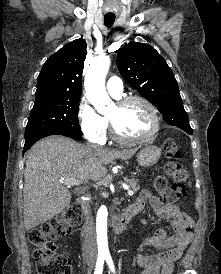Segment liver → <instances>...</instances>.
<instances>
[{
	"mask_svg": "<svg viewBox=\"0 0 221 274\" xmlns=\"http://www.w3.org/2000/svg\"><path fill=\"white\" fill-rule=\"evenodd\" d=\"M136 149L109 150L82 145L61 136H51L32 146L26 156L24 174V224L30 230L59 215L69 205L72 192L64 180L80 183L102 179L105 165L127 160ZM82 188H76L75 192Z\"/></svg>",
	"mask_w": 221,
	"mask_h": 274,
	"instance_id": "1",
	"label": "liver"
}]
</instances>
